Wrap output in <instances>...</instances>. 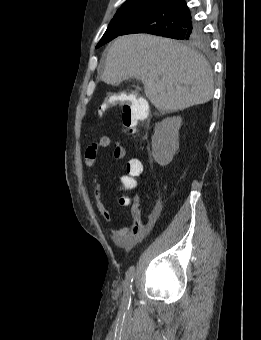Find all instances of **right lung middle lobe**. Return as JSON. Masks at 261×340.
<instances>
[{"mask_svg":"<svg viewBox=\"0 0 261 340\" xmlns=\"http://www.w3.org/2000/svg\"><path fill=\"white\" fill-rule=\"evenodd\" d=\"M157 5L158 3L156 2H136L124 4L120 9H118L96 48L121 35L138 19L154 9ZM172 38L184 40L189 44L197 46H204L207 43L206 36L202 32V28L197 22L191 29L183 33L180 32L175 34L172 36Z\"/></svg>","mask_w":261,"mask_h":340,"instance_id":"1","label":"right lung middle lobe"}]
</instances>
